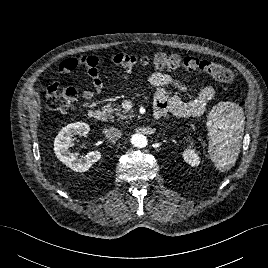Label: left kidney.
<instances>
[{
	"mask_svg": "<svg viewBox=\"0 0 268 268\" xmlns=\"http://www.w3.org/2000/svg\"><path fill=\"white\" fill-rule=\"evenodd\" d=\"M182 156L184 161L191 166H198L200 164V157L196 153L195 149H192L191 146L183 151Z\"/></svg>",
	"mask_w": 268,
	"mask_h": 268,
	"instance_id": "5707ae66",
	"label": "left kidney"
}]
</instances>
